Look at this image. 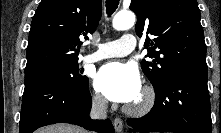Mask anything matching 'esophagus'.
Wrapping results in <instances>:
<instances>
[{
    "mask_svg": "<svg viewBox=\"0 0 221 133\" xmlns=\"http://www.w3.org/2000/svg\"><path fill=\"white\" fill-rule=\"evenodd\" d=\"M113 124L117 133L123 132V122L120 118H115Z\"/></svg>",
    "mask_w": 221,
    "mask_h": 133,
    "instance_id": "34e87169",
    "label": "esophagus"
}]
</instances>
